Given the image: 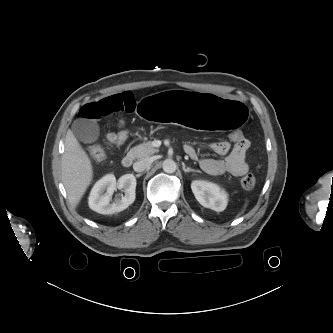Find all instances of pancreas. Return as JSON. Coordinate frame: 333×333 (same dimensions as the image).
Masks as SVG:
<instances>
[{
  "mask_svg": "<svg viewBox=\"0 0 333 333\" xmlns=\"http://www.w3.org/2000/svg\"><path fill=\"white\" fill-rule=\"evenodd\" d=\"M158 151L159 150L157 148H154L152 146L151 142H146V143L137 145V146L133 147L132 149H130L129 155L132 158H136V159L140 160V159L147 158Z\"/></svg>",
  "mask_w": 333,
  "mask_h": 333,
  "instance_id": "obj_1",
  "label": "pancreas"
}]
</instances>
